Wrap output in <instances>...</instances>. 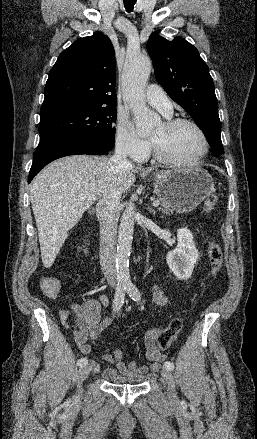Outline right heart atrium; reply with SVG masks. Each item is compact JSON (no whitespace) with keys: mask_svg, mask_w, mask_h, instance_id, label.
<instances>
[{"mask_svg":"<svg viewBox=\"0 0 257 439\" xmlns=\"http://www.w3.org/2000/svg\"><path fill=\"white\" fill-rule=\"evenodd\" d=\"M116 151L133 160H143L150 152L149 140L137 133L134 124L127 117H118L115 129Z\"/></svg>","mask_w":257,"mask_h":439,"instance_id":"right-heart-atrium-1","label":"right heart atrium"}]
</instances>
